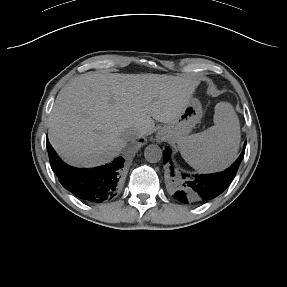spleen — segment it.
<instances>
[{
    "instance_id": "1",
    "label": "spleen",
    "mask_w": 287,
    "mask_h": 287,
    "mask_svg": "<svg viewBox=\"0 0 287 287\" xmlns=\"http://www.w3.org/2000/svg\"><path fill=\"white\" fill-rule=\"evenodd\" d=\"M214 126L181 138L177 144L184 160L194 169L213 173L229 167L237 158L241 141L239 119L229 103L215 106Z\"/></svg>"
}]
</instances>
